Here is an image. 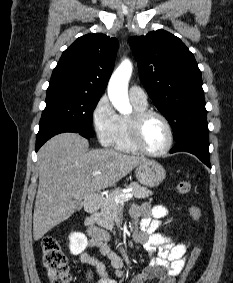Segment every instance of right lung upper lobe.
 <instances>
[{"label": "right lung upper lobe", "mask_w": 233, "mask_h": 283, "mask_svg": "<svg viewBox=\"0 0 233 283\" xmlns=\"http://www.w3.org/2000/svg\"><path fill=\"white\" fill-rule=\"evenodd\" d=\"M118 40L102 33L77 38L54 68L49 87L101 96L113 71Z\"/></svg>", "instance_id": "right-lung-upper-lobe-1"}]
</instances>
